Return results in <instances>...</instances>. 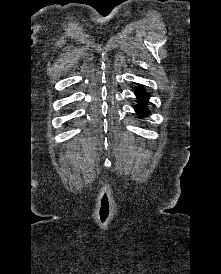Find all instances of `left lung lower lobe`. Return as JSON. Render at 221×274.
<instances>
[{
	"instance_id": "obj_1",
	"label": "left lung lower lobe",
	"mask_w": 221,
	"mask_h": 274,
	"mask_svg": "<svg viewBox=\"0 0 221 274\" xmlns=\"http://www.w3.org/2000/svg\"><path fill=\"white\" fill-rule=\"evenodd\" d=\"M135 94L137 95L139 100L138 106L135 108V110L140 116L145 117L149 114V111L146 107L148 94L142 88H137L135 90Z\"/></svg>"
}]
</instances>
